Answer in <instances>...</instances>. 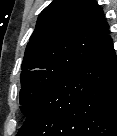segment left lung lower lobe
I'll use <instances>...</instances> for the list:
<instances>
[{"mask_svg":"<svg viewBox=\"0 0 117 136\" xmlns=\"http://www.w3.org/2000/svg\"><path fill=\"white\" fill-rule=\"evenodd\" d=\"M27 116L17 136H117V65L111 37Z\"/></svg>","mask_w":117,"mask_h":136,"instance_id":"obj_1","label":"left lung lower lobe"}]
</instances>
